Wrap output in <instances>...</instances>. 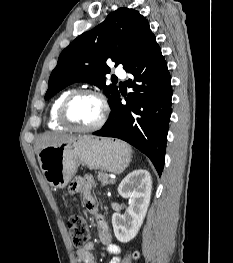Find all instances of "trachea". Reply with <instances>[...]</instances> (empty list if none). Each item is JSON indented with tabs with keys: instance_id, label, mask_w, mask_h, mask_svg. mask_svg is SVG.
<instances>
[{
	"instance_id": "trachea-1",
	"label": "trachea",
	"mask_w": 233,
	"mask_h": 263,
	"mask_svg": "<svg viewBox=\"0 0 233 263\" xmlns=\"http://www.w3.org/2000/svg\"><path fill=\"white\" fill-rule=\"evenodd\" d=\"M112 80L113 81H118V79L116 77H113Z\"/></svg>"
}]
</instances>
